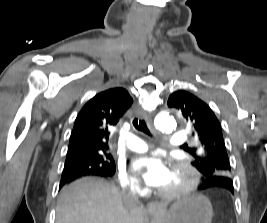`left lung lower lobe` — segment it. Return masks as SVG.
I'll return each mask as SVG.
<instances>
[{
	"label": "left lung lower lobe",
	"mask_w": 267,
	"mask_h": 223,
	"mask_svg": "<svg viewBox=\"0 0 267 223\" xmlns=\"http://www.w3.org/2000/svg\"><path fill=\"white\" fill-rule=\"evenodd\" d=\"M204 178H213L204 181L198 192H215L216 195H233V182L228 178L227 173H204Z\"/></svg>",
	"instance_id": "obj_1"
}]
</instances>
